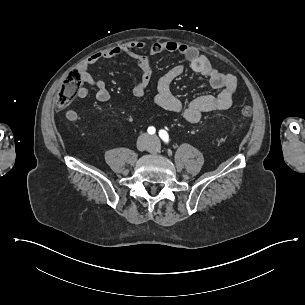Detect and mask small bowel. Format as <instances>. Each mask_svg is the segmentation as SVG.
Wrapping results in <instances>:
<instances>
[{
    "label": "small bowel",
    "instance_id": "1",
    "mask_svg": "<svg viewBox=\"0 0 305 305\" xmlns=\"http://www.w3.org/2000/svg\"><path fill=\"white\" fill-rule=\"evenodd\" d=\"M145 48L146 44L144 41L135 40L90 55L78 68L81 82L95 89L96 98L99 102H108L110 100V93L106 84L104 81L96 80L92 76L90 66L102 59L127 56L136 63L140 71V79L133 87L132 93L144 96L152 78L149 57L139 53V51ZM162 52L178 53L183 56L195 72L207 77L210 86L220 90V92L216 96H198L187 105H183L182 101L171 91L172 83L181 77L185 71L184 65L177 64L157 81L156 94L152 100L153 105L173 113H180L184 120L191 124L198 123L205 113L226 110L231 106L237 88V81L234 75L217 70L206 57L200 54L197 48L184 43L157 41L148 47L149 55H157ZM88 94L89 90L87 87H79L77 91L79 98H86ZM65 116L71 122H76L79 119L77 112L72 109L67 110Z\"/></svg>",
    "mask_w": 305,
    "mask_h": 305
}]
</instances>
